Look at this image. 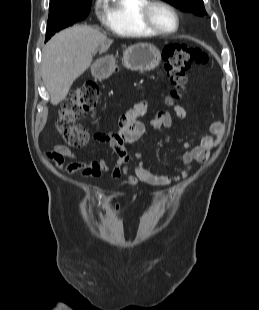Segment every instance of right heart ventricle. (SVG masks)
<instances>
[{"label":"right heart ventricle","instance_id":"obj_1","mask_svg":"<svg viewBox=\"0 0 259 310\" xmlns=\"http://www.w3.org/2000/svg\"><path fill=\"white\" fill-rule=\"evenodd\" d=\"M148 0H109L106 27L126 37H153L155 33L141 22L140 12Z\"/></svg>","mask_w":259,"mask_h":310}]
</instances>
